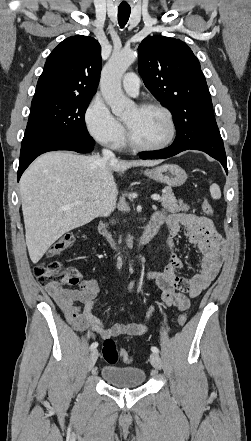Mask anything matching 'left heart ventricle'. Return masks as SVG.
<instances>
[{"label":"left heart ventricle","instance_id":"b2bd125f","mask_svg":"<svg viewBox=\"0 0 251 441\" xmlns=\"http://www.w3.org/2000/svg\"><path fill=\"white\" fill-rule=\"evenodd\" d=\"M123 120L136 140L145 145L160 144L167 139L170 133L168 119L158 109L140 110L134 107Z\"/></svg>","mask_w":251,"mask_h":441}]
</instances>
